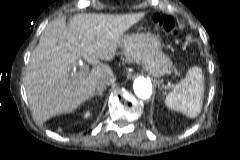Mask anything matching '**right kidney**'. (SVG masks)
I'll return each mask as SVG.
<instances>
[{"label": "right kidney", "instance_id": "1", "mask_svg": "<svg viewBox=\"0 0 240 160\" xmlns=\"http://www.w3.org/2000/svg\"><path fill=\"white\" fill-rule=\"evenodd\" d=\"M90 116V112H86L84 117H89Z\"/></svg>", "mask_w": 240, "mask_h": 160}]
</instances>
